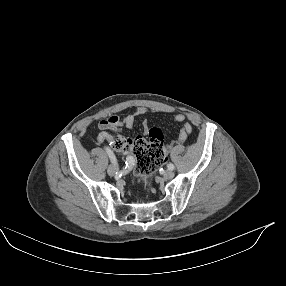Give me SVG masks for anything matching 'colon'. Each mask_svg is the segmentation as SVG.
<instances>
[{
	"instance_id": "1",
	"label": "colon",
	"mask_w": 286,
	"mask_h": 286,
	"mask_svg": "<svg viewBox=\"0 0 286 286\" xmlns=\"http://www.w3.org/2000/svg\"><path fill=\"white\" fill-rule=\"evenodd\" d=\"M110 145L117 152L131 153L136 157V172L145 183L155 169L165 160L164 135L160 128L153 127L147 137L126 138L114 135Z\"/></svg>"
}]
</instances>
